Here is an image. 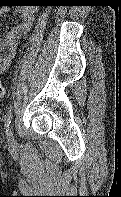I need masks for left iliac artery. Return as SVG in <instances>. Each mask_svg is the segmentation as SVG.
Wrapping results in <instances>:
<instances>
[{"label":"left iliac artery","mask_w":121,"mask_h":197,"mask_svg":"<svg viewBox=\"0 0 121 197\" xmlns=\"http://www.w3.org/2000/svg\"><path fill=\"white\" fill-rule=\"evenodd\" d=\"M12 116H13L12 110H9L4 116V124H5V127H7V131H8L9 126L11 124Z\"/></svg>","instance_id":"44dca946"}]
</instances>
